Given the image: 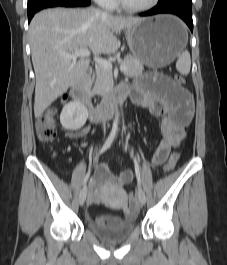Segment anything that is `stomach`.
Instances as JSON below:
<instances>
[{"label":"stomach","mask_w":227,"mask_h":265,"mask_svg":"<svg viewBox=\"0 0 227 265\" xmlns=\"http://www.w3.org/2000/svg\"><path fill=\"white\" fill-rule=\"evenodd\" d=\"M126 39L132 55L141 63L162 68L179 55L188 35L180 19L165 14L143 19L126 31Z\"/></svg>","instance_id":"0dacf381"}]
</instances>
